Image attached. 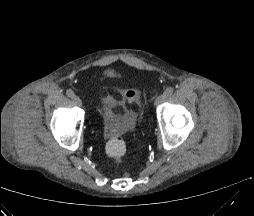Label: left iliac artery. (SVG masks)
I'll return each mask as SVG.
<instances>
[{
    "mask_svg": "<svg viewBox=\"0 0 254 216\" xmlns=\"http://www.w3.org/2000/svg\"><path fill=\"white\" fill-rule=\"evenodd\" d=\"M173 92H174L173 87H168V88L165 90L164 94H165L167 97H169V96H171V95L173 94Z\"/></svg>",
    "mask_w": 254,
    "mask_h": 216,
    "instance_id": "1",
    "label": "left iliac artery"
}]
</instances>
